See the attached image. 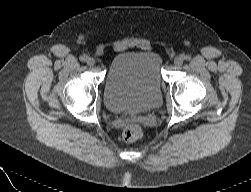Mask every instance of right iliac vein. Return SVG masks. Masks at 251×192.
Masks as SVG:
<instances>
[{"instance_id":"1","label":"right iliac vein","mask_w":251,"mask_h":192,"mask_svg":"<svg viewBox=\"0 0 251 192\" xmlns=\"http://www.w3.org/2000/svg\"><path fill=\"white\" fill-rule=\"evenodd\" d=\"M86 62L89 66H93L95 64V60L92 57H88Z\"/></svg>"}]
</instances>
